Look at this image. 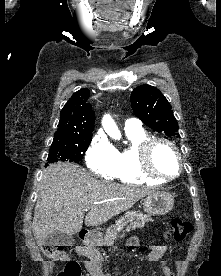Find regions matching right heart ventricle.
I'll return each mask as SVG.
<instances>
[{
    "mask_svg": "<svg viewBox=\"0 0 221 276\" xmlns=\"http://www.w3.org/2000/svg\"><path fill=\"white\" fill-rule=\"evenodd\" d=\"M126 136L130 141V145L117 151V168L114 178L126 184H156L159 181L146 177L139 165L138 146L145 139L149 138V134L144 129L127 130Z\"/></svg>",
    "mask_w": 221,
    "mask_h": 276,
    "instance_id": "right-heart-ventricle-1",
    "label": "right heart ventricle"
}]
</instances>
